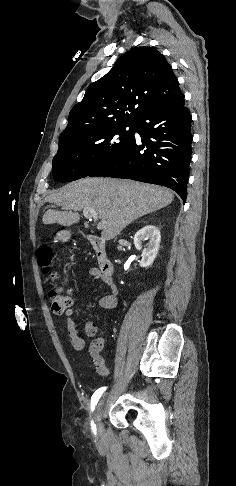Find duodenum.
<instances>
[{"instance_id": "obj_1", "label": "duodenum", "mask_w": 236, "mask_h": 486, "mask_svg": "<svg viewBox=\"0 0 236 486\" xmlns=\"http://www.w3.org/2000/svg\"><path fill=\"white\" fill-rule=\"evenodd\" d=\"M86 239L93 248L101 273L105 276L111 277L114 267L113 263L107 256L105 241L100 237L92 235H87Z\"/></svg>"}]
</instances>
